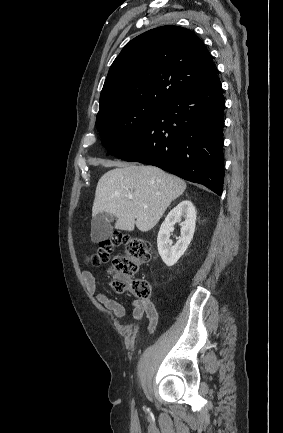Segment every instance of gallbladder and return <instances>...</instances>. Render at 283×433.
I'll return each mask as SVG.
<instances>
[{
  "label": "gallbladder",
  "instance_id": "obj_1",
  "mask_svg": "<svg viewBox=\"0 0 283 433\" xmlns=\"http://www.w3.org/2000/svg\"><path fill=\"white\" fill-rule=\"evenodd\" d=\"M115 221L114 214L98 212L91 221V239L93 243H101L108 239L112 233L111 223Z\"/></svg>",
  "mask_w": 283,
  "mask_h": 433
}]
</instances>
